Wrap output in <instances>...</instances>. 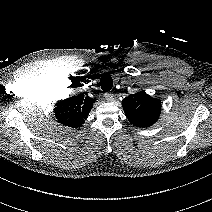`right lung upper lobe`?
<instances>
[{
  "label": "right lung upper lobe",
  "instance_id": "right-lung-upper-lobe-1",
  "mask_svg": "<svg viewBox=\"0 0 212 212\" xmlns=\"http://www.w3.org/2000/svg\"><path fill=\"white\" fill-rule=\"evenodd\" d=\"M96 99L84 98L83 96H72L57 103L54 109L55 116L62 125L79 128L81 127Z\"/></svg>",
  "mask_w": 212,
  "mask_h": 212
}]
</instances>
